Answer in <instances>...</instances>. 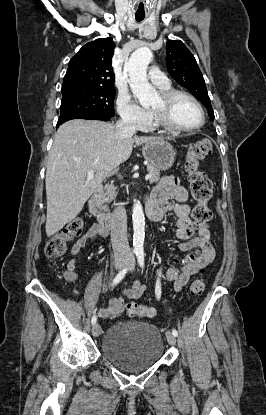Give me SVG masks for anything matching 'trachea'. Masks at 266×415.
<instances>
[{"mask_svg":"<svg viewBox=\"0 0 266 415\" xmlns=\"http://www.w3.org/2000/svg\"><path fill=\"white\" fill-rule=\"evenodd\" d=\"M135 19H136V21L140 22L144 19V16L135 15Z\"/></svg>","mask_w":266,"mask_h":415,"instance_id":"obj_1","label":"trachea"}]
</instances>
